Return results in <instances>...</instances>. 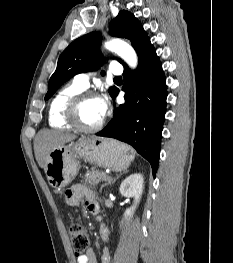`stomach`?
<instances>
[{"instance_id":"obj_1","label":"stomach","mask_w":233,"mask_h":263,"mask_svg":"<svg viewBox=\"0 0 233 263\" xmlns=\"http://www.w3.org/2000/svg\"><path fill=\"white\" fill-rule=\"evenodd\" d=\"M128 145L113 139L81 137L50 152L44 171L53 188H64L77 175L79 159L116 172L126 170L134 159Z\"/></svg>"}]
</instances>
